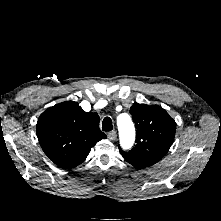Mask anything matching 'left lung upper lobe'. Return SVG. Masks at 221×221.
Listing matches in <instances>:
<instances>
[{
	"label": "left lung upper lobe",
	"mask_w": 221,
	"mask_h": 221,
	"mask_svg": "<svg viewBox=\"0 0 221 221\" xmlns=\"http://www.w3.org/2000/svg\"><path fill=\"white\" fill-rule=\"evenodd\" d=\"M130 113L137 129L136 145L128 152L119 150L128 163L145 168L167 153L174 140L176 123L160 106L134 103Z\"/></svg>",
	"instance_id": "left-lung-upper-lobe-1"
}]
</instances>
